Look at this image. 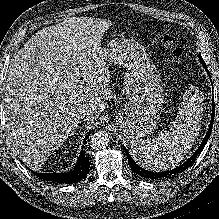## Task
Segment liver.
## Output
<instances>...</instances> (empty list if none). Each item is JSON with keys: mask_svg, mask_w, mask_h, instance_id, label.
<instances>
[{"mask_svg": "<svg viewBox=\"0 0 219 219\" xmlns=\"http://www.w3.org/2000/svg\"><path fill=\"white\" fill-rule=\"evenodd\" d=\"M110 20L71 17L33 35L18 51L4 85L8 138L37 168L78 128L87 107L93 123L112 98L101 36ZM81 78L83 80H81Z\"/></svg>", "mask_w": 219, "mask_h": 219, "instance_id": "1", "label": "liver"}]
</instances>
